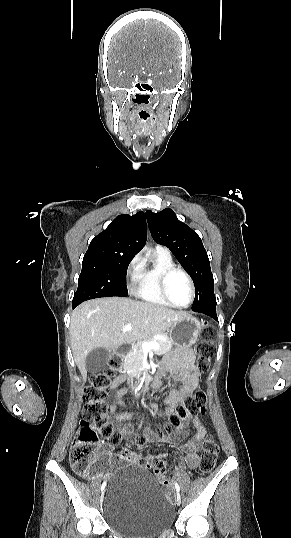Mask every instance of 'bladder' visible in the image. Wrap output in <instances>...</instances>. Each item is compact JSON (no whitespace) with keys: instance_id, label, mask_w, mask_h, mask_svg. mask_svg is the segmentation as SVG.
Segmentation results:
<instances>
[{"instance_id":"bladder-1","label":"bladder","mask_w":291,"mask_h":538,"mask_svg":"<svg viewBox=\"0 0 291 538\" xmlns=\"http://www.w3.org/2000/svg\"><path fill=\"white\" fill-rule=\"evenodd\" d=\"M101 503L109 527L131 538H153L175 520L174 509L154 477L132 465L110 475Z\"/></svg>"}]
</instances>
